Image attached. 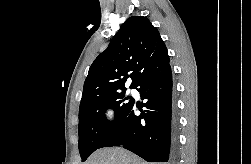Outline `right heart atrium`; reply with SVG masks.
<instances>
[{"label": "right heart atrium", "instance_id": "d8ad5b80", "mask_svg": "<svg viewBox=\"0 0 251 164\" xmlns=\"http://www.w3.org/2000/svg\"><path fill=\"white\" fill-rule=\"evenodd\" d=\"M104 119L107 124H114L117 121V113L114 109L109 108L104 113Z\"/></svg>", "mask_w": 251, "mask_h": 164}]
</instances>
